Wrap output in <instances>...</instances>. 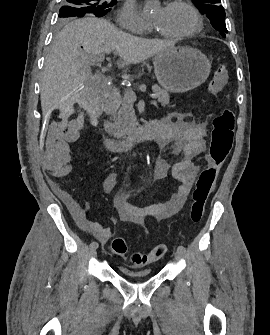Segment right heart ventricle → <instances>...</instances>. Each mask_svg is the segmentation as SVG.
I'll list each match as a JSON object with an SVG mask.
<instances>
[{
    "label": "right heart ventricle",
    "mask_w": 270,
    "mask_h": 335,
    "mask_svg": "<svg viewBox=\"0 0 270 335\" xmlns=\"http://www.w3.org/2000/svg\"><path fill=\"white\" fill-rule=\"evenodd\" d=\"M159 78H173V77H159Z\"/></svg>",
    "instance_id": "right-heart-ventricle-1"
}]
</instances>
